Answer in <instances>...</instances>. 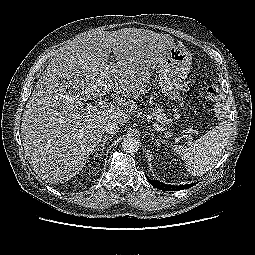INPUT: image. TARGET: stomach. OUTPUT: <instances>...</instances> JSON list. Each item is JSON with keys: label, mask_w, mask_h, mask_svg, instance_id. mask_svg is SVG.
Returning <instances> with one entry per match:
<instances>
[{"label": "stomach", "mask_w": 255, "mask_h": 255, "mask_svg": "<svg viewBox=\"0 0 255 255\" xmlns=\"http://www.w3.org/2000/svg\"><path fill=\"white\" fill-rule=\"evenodd\" d=\"M191 53L184 45H174L160 63L159 85L166 95H171L187 77L191 67Z\"/></svg>", "instance_id": "1"}]
</instances>
